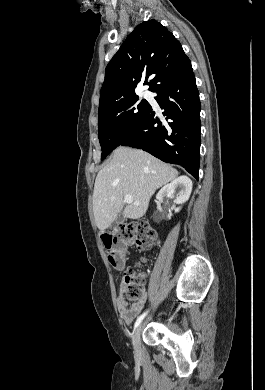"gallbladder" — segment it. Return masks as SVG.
I'll return each instance as SVG.
<instances>
[{
  "label": "gallbladder",
  "instance_id": "gallbladder-1",
  "mask_svg": "<svg viewBox=\"0 0 265 390\" xmlns=\"http://www.w3.org/2000/svg\"><path fill=\"white\" fill-rule=\"evenodd\" d=\"M124 221H125L124 212H120V213L116 216L115 221H114V224H115V225H120V224H122Z\"/></svg>",
  "mask_w": 265,
  "mask_h": 390
}]
</instances>
